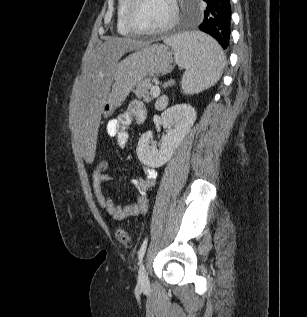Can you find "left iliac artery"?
<instances>
[{"label": "left iliac artery", "mask_w": 307, "mask_h": 317, "mask_svg": "<svg viewBox=\"0 0 307 317\" xmlns=\"http://www.w3.org/2000/svg\"><path fill=\"white\" fill-rule=\"evenodd\" d=\"M147 244H148V238H145V240L143 241L142 245H141V248L140 250L138 251V259H139V262L141 263L143 257H144V254H145V251H146V248H147Z\"/></svg>", "instance_id": "obj_1"}]
</instances>
